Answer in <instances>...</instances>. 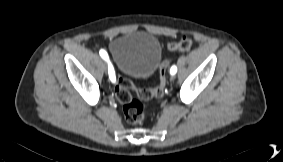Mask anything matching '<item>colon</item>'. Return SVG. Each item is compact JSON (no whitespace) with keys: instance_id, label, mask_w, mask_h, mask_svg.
Here are the masks:
<instances>
[{"instance_id":"1","label":"colon","mask_w":283,"mask_h":162,"mask_svg":"<svg viewBox=\"0 0 283 162\" xmlns=\"http://www.w3.org/2000/svg\"><path fill=\"white\" fill-rule=\"evenodd\" d=\"M193 45L189 37H183L178 42H170L167 47L171 51H187ZM168 61L163 60L159 67V79L154 88L136 90L133 82L118 76L115 82V95L123 106L125 120L130 124H142L148 117V101L160 99L164 95ZM136 91L137 97L132 95Z\"/></svg>"}]
</instances>
